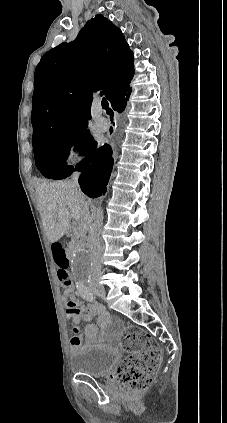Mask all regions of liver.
I'll return each mask as SVG.
<instances>
[{
    "label": "liver",
    "mask_w": 227,
    "mask_h": 423,
    "mask_svg": "<svg viewBox=\"0 0 227 423\" xmlns=\"http://www.w3.org/2000/svg\"><path fill=\"white\" fill-rule=\"evenodd\" d=\"M35 198L47 239L51 243L72 231L71 208L77 211L79 215L77 219L82 223L86 196L72 180L39 184L35 190Z\"/></svg>",
    "instance_id": "1"
}]
</instances>
